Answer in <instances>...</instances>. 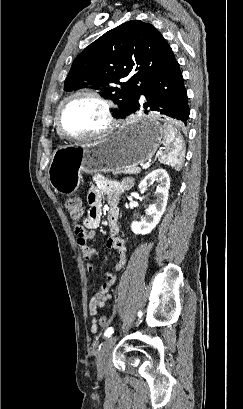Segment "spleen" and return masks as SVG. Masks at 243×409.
Masks as SVG:
<instances>
[{
	"mask_svg": "<svg viewBox=\"0 0 243 409\" xmlns=\"http://www.w3.org/2000/svg\"><path fill=\"white\" fill-rule=\"evenodd\" d=\"M163 132V145L165 150L160 153L159 161L179 171L185 155L183 138L178 130L169 122L164 123Z\"/></svg>",
	"mask_w": 243,
	"mask_h": 409,
	"instance_id": "spleen-1",
	"label": "spleen"
}]
</instances>
